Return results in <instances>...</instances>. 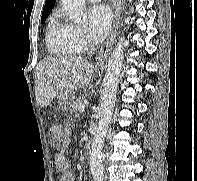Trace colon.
Segmentation results:
<instances>
[{"instance_id": "colon-1", "label": "colon", "mask_w": 197, "mask_h": 181, "mask_svg": "<svg viewBox=\"0 0 197 181\" xmlns=\"http://www.w3.org/2000/svg\"><path fill=\"white\" fill-rule=\"evenodd\" d=\"M48 135H49L52 145L55 148L60 147L61 141H62V135H61V131L59 127L56 125H51L48 128Z\"/></svg>"}]
</instances>
